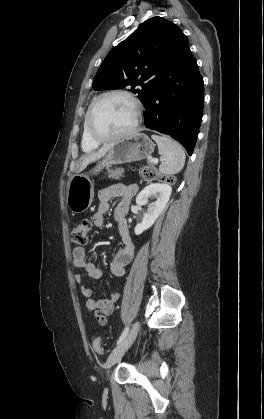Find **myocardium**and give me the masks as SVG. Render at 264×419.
I'll return each mask as SVG.
<instances>
[{"mask_svg": "<svg viewBox=\"0 0 264 419\" xmlns=\"http://www.w3.org/2000/svg\"><path fill=\"white\" fill-rule=\"evenodd\" d=\"M114 95H119V96L126 97L127 99H129L132 102V104L134 105V108H135L134 122L129 129H127V130H125L121 133L111 135V136H103V135H100V134L96 133V131L93 128V125H92L93 114H94V111H95L97 105L103 99H105L106 97H109V96H114ZM141 116H142L141 104H140L139 100L132 93H130L129 91L120 90V89L106 91V92L100 94L99 96H97L89 106L87 116H86L87 133L93 141L98 142V143H105V142H112V141L121 140V139H124V138H127V137L131 136L132 134H134L136 132V130L139 127Z\"/></svg>", "mask_w": 264, "mask_h": 419, "instance_id": "f54148a6", "label": "myocardium"}]
</instances>
